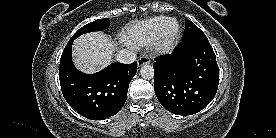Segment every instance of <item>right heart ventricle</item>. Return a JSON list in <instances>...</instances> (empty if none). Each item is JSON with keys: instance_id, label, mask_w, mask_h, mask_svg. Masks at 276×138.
Instances as JSON below:
<instances>
[{"instance_id": "obj_1", "label": "right heart ventricle", "mask_w": 276, "mask_h": 138, "mask_svg": "<svg viewBox=\"0 0 276 138\" xmlns=\"http://www.w3.org/2000/svg\"><path fill=\"white\" fill-rule=\"evenodd\" d=\"M168 18L167 16L160 15L131 25L126 30L124 41L133 47H141L150 44L162 23Z\"/></svg>"}]
</instances>
